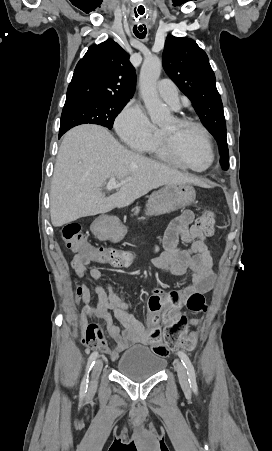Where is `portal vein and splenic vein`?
Wrapping results in <instances>:
<instances>
[{
    "mask_svg": "<svg viewBox=\"0 0 272 451\" xmlns=\"http://www.w3.org/2000/svg\"><path fill=\"white\" fill-rule=\"evenodd\" d=\"M81 164V162H80ZM126 182V180H125ZM125 182H120V184H117L116 182V178H110L107 186H106V190H113V188H119V186H122V184H125Z\"/></svg>",
    "mask_w": 272,
    "mask_h": 451,
    "instance_id": "18ae733b",
    "label": "portal vein and splenic vein"
}]
</instances>
